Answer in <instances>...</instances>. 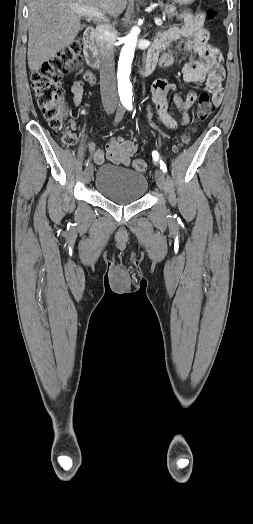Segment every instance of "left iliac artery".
I'll return each mask as SVG.
<instances>
[{
	"label": "left iliac artery",
	"instance_id": "obj_1",
	"mask_svg": "<svg viewBox=\"0 0 253 524\" xmlns=\"http://www.w3.org/2000/svg\"><path fill=\"white\" fill-rule=\"evenodd\" d=\"M125 106H126V108L128 110H132V103L131 102H127L125 104ZM152 156H153V159L155 161L158 160L159 155H158V153L156 151H153ZM160 168L163 170V172H167V167H166L165 163L162 160H160Z\"/></svg>",
	"mask_w": 253,
	"mask_h": 524
}]
</instances>
